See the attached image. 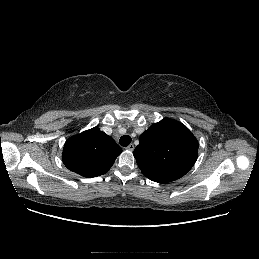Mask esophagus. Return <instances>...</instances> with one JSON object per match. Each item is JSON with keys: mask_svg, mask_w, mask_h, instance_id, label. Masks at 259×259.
<instances>
[{"mask_svg": "<svg viewBox=\"0 0 259 259\" xmlns=\"http://www.w3.org/2000/svg\"><path fill=\"white\" fill-rule=\"evenodd\" d=\"M127 150L129 151H133L134 150V144H129L127 147H126Z\"/></svg>", "mask_w": 259, "mask_h": 259, "instance_id": "esophagus-1", "label": "esophagus"}]
</instances>
